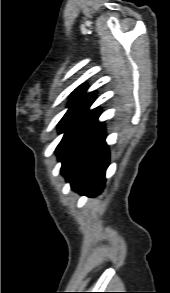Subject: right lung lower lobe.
<instances>
[{"instance_id": "right-lung-lower-lobe-1", "label": "right lung lower lobe", "mask_w": 170, "mask_h": 293, "mask_svg": "<svg viewBox=\"0 0 170 293\" xmlns=\"http://www.w3.org/2000/svg\"><path fill=\"white\" fill-rule=\"evenodd\" d=\"M109 164V150L105 143L104 126L101 124L78 156L62 171L73 190L81 194L96 195L105 182Z\"/></svg>"}]
</instances>
